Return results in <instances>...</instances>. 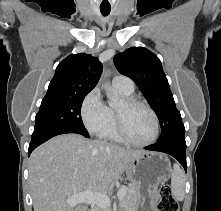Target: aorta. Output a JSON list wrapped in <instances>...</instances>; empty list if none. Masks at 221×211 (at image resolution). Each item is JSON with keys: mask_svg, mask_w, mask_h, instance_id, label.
I'll list each match as a JSON object with an SVG mask.
<instances>
[{"mask_svg": "<svg viewBox=\"0 0 221 211\" xmlns=\"http://www.w3.org/2000/svg\"><path fill=\"white\" fill-rule=\"evenodd\" d=\"M106 92H107V98H108V104L110 107H116L120 103V99L118 97V94L109 86H104Z\"/></svg>", "mask_w": 221, "mask_h": 211, "instance_id": "aorta-1", "label": "aorta"}]
</instances>
